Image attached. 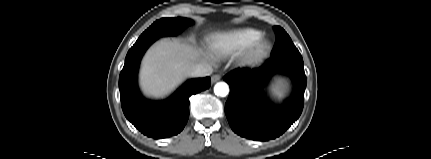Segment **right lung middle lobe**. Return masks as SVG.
<instances>
[{"label":"right lung middle lobe","instance_id":"right-lung-middle-lobe-1","mask_svg":"<svg viewBox=\"0 0 431 159\" xmlns=\"http://www.w3.org/2000/svg\"><path fill=\"white\" fill-rule=\"evenodd\" d=\"M191 24H193L192 20L183 17L162 18L155 21L147 30H145L137 41L157 39L163 36H174Z\"/></svg>","mask_w":431,"mask_h":159}]
</instances>
